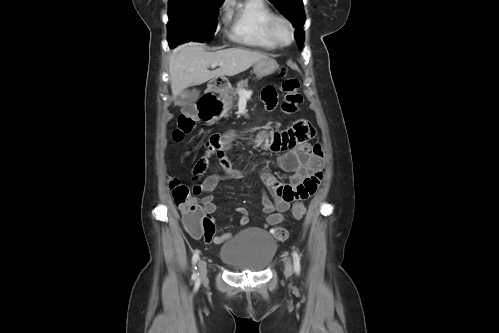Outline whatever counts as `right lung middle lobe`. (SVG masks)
Wrapping results in <instances>:
<instances>
[{"label": "right lung middle lobe", "mask_w": 499, "mask_h": 333, "mask_svg": "<svg viewBox=\"0 0 499 333\" xmlns=\"http://www.w3.org/2000/svg\"><path fill=\"white\" fill-rule=\"evenodd\" d=\"M223 0H169V46L187 41H209L216 30Z\"/></svg>", "instance_id": "obj_1"}]
</instances>
